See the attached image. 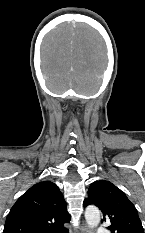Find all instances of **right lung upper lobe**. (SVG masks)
<instances>
[{
  "label": "right lung upper lobe",
  "instance_id": "cb5924a9",
  "mask_svg": "<svg viewBox=\"0 0 145 233\" xmlns=\"http://www.w3.org/2000/svg\"><path fill=\"white\" fill-rule=\"evenodd\" d=\"M70 221L67 204L58 186L39 182L25 192L11 208L3 233H65Z\"/></svg>",
  "mask_w": 145,
  "mask_h": 233
}]
</instances>
